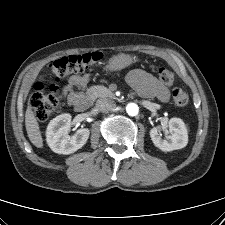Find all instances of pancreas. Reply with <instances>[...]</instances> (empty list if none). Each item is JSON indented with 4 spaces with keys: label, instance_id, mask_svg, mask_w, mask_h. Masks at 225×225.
Masks as SVG:
<instances>
[{
    "label": "pancreas",
    "instance_id": "obj_1",
    "mask_svg": "<svg viewBox=\"0 0 225 225\" xmlns=\"http://www.w3.org/2000/svg\"><path fill=\"white\" fill-rule=\"evenodd\" d=\"M87 93L92 97H113V93L104 86H92Z\"/></svg>",
    "mask_w": 225,
    "mask_h": 225
}]
</instances>
